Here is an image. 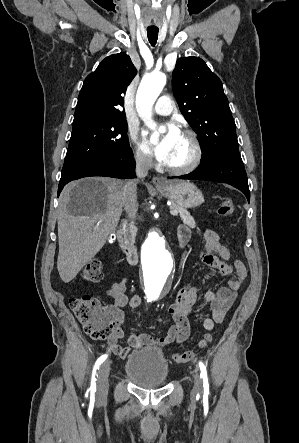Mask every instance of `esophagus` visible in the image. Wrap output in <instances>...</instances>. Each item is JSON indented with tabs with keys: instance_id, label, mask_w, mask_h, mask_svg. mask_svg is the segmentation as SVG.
<instances>
[{
	"instance_id": "obj_1",
	"label": "esophagus",
	"mask_w": 299,
	"mask_h": 443,
	"mask_svg": "<svg viewBox=\"0 0 299 443\" xmlns=\"http://www.w3.org/2000/svg\"><path fill=\"white\" fill-rule=\"evenodd\" d=\"M152 183L155 186H163V185H165V181L162 178L158 177V176H154L152 178Z\"/></svg>"
}]
</instances>
